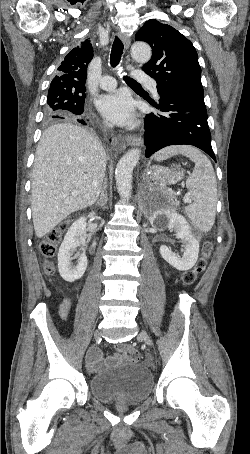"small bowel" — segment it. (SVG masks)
Returning <instances> with one entry per match:
<instances>
[{
	"label": "small bowel",
	"instance_id": "small-bowel-1",
	"mask_svg": "<svg viewBox=\"0 0 250 454\" xmlns=\"http://www.w3.org/2000/svg\"><path fill=\"white\" fill-rule=\"evenodd\" d=\"M70 306H71L70 300L67 298L64 299L63 302L61 303L59 315L62 320H67ZM108 363L109 360L103 358L102 352L99 349H92L88 352L87 366L90 371L95 372L101 370Z\"/></svg>",
	"mask_w": 250,
	"mask_h": 454
}]
</instances>
